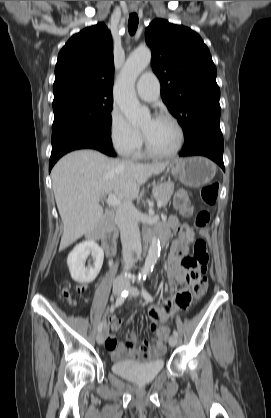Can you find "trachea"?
<instances>
[{
    "label": "trachea",
    "instance_id": "3493384b",
    "mask_svg": "<svg viewBox=\"0 0 271 418\" xmlns=\"http://www.w3.org/2000/svg\"><path fill=\"white\" fill-rule=\"evenodd\" d=\"M138 16L136 13H131L128 21V30L131 35H134L138 27Z\"/></svg>",
    "mask_w": 271,
    "mask_h": 418
}]
</instances>
